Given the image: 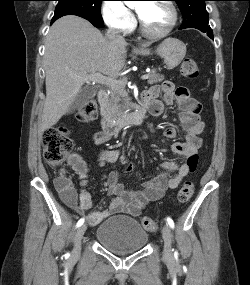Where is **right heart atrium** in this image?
<instances>
[{
  "label": "right heart atrium",
  "mask_w": 250,
  "mask_h": 285,
  "mask_svg": "<svg viewBox=\"0 0 250 285\" xmlns=\"http://www.w3.org/2000/svg\"><path fill=\"white\" fill-rule=\"evenodd\" d=\"M102 17L108 27L119 32H129L135 25L133 14L121 0L104 1Z\"/></svg>",
  "instance_id": "right-heart-atrium-1"
}]
</instances>
